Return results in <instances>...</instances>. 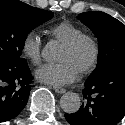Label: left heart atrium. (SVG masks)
I'll use <instances>...</instances> for the list:
<instances>
[{
	"instance_id": "left-heart-atrium-1",
	"label": "left heart atrium",
	"mask_w": 125,
	"mask_h": 125,
	"mask_svg": "<svg viewBox=\"0 0 125 125\" xmlns=\"http://www.w3.org/2000/svg\"><path fill=\"white\" fill-rule=\"evenodd\" d=\"M78 76V71L66 60L57 63H47L35 72V77L53 85H66L73 82Z\"/></svg>"
}]
</instances>
